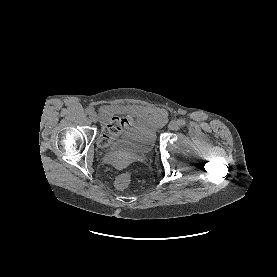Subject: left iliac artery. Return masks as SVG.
<instances>
[{
  "label": "left iliac artery",
  "instance_id": "44dca946",
  "mask_svg": "<svg viewBox=\"0 0 277 277\" xmlns=\"http://www.w3.org/2000/svg\"><path fill=\"white\" fill-rule=\"evenodd\" d=\"M178 122H179L180 126H184L186 123L184 119H179Z\"/></svg>",
  "mask_w": 277,
  "mask_h": 277
}]
</instances>
